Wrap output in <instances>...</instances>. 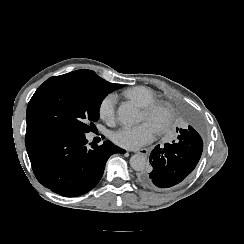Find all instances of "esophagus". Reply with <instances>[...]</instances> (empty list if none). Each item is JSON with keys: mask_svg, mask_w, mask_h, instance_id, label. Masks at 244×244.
I'll use <instances>...</instances> for the list:
<instances>
[{"mask_svg": "<svg viewBox=\"0 0 244 244\" xmlns=\"http://www.w3.org/2000/svg\"><path fill=\"white\" fill-rule=\"evenodd\" d=\"M133 152L147 156L149 154V149L148 148H142V149H138V150H133Z\"/></svg>", "mask_w": 244, "mask_h": 244, "instance_id": "1", "label": "esophagus"}]
</instances>
